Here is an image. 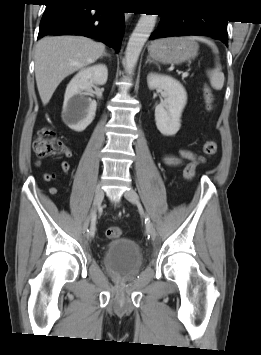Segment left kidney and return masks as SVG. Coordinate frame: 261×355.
I'll return each mask as SVG.
<instances>
[{"instance_id": "5707ae66", "label": "left kidney", "mask_w": 261, "mask_h": 355, "mask_svg": "<svg viewBox=\"0 0 261 355\" xmlns=\"http://www.w3.org/2000/svg\"><path fill=\"white\" fill-rule=\"evenodd\" d=\"M149 89H162L165 99L155 108L157 129L165 136L175 135L181 127V115L187 102V93L180 82L170 76L150 73Z\"/></svg>"}]
</instances>
